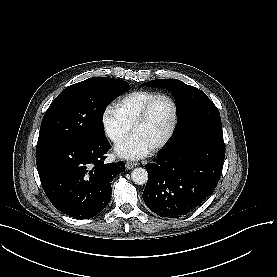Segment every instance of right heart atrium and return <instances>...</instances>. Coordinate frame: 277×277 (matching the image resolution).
Instances as JSON below:
<instances>
[{"instance_id": "d8ad5b80", "label": "right heart atrium", "mask_w": 277, "mask_h": 277, "mask_svg": "<svg viewBox=\"0 0 277 277\" xmlns=\"http://www.w3.org/2000/svg\"><path fill=\"white\" fill-rule=\"evenodd\" d=\"M102 127L105 135L112 140L119 139L127 131V124L121 116L113 110H106L104 112Z\"/></svg>"}]
</instances>
